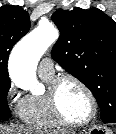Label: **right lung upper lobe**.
Masks as SVG:
<instances>
[{"label": "right lung upper lobe", "mask_w": 116, "mask_h": 134, "mask_svg": "<svg viewBox=\"0 0 116 134\" xmlns=\"http://www.w3.org/2000/svg\"><path fill=\"white\" fill-rule=\"evenodd\" d=\"M29 29V14L22 7H0V78H9L7 62L10 51Z\"/></svg>", "instance_id": "1"}]
</instances>
